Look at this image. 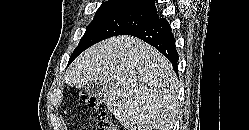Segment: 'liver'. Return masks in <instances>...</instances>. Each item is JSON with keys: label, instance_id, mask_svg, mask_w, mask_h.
Returning a JSON list of instances; mask_svg holds the SVG:
<instances>
[{"label": "liver", "instance_id": "1", "mask_svg": "<svg viewBox=\"0 0 249 130\" xmlns=\"http://www.w3.org/2000/svg\"><path fill=\"white\" fill-rule=\"evenodd\" d=\"M98 81L102 101L126 130H172L178 113V82L168 59L126 35L104 40L79 55L65 82L81 88Z\"/></svg>", "mask_w": 249, "mask_h": 130}]
</instances>
